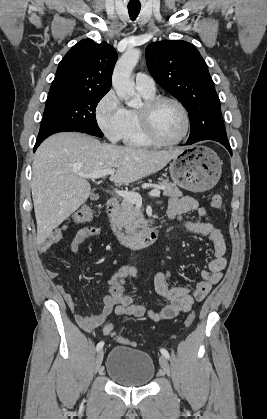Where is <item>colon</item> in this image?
<instances>
[{
  "label": "colon",
  "mask_w": 267,
  "mask_h": 419,
  "mask_svg": "<svg viewBox=\"0 0 267 419\" xmlns=\"http://www.w3.org/2000/svg\"><path fill=\"white\" fill-rule=\"evenodd\" d=\"M211 205L212 207L216 208V209H220L223 206V199L220 195H214L211 198ZM95 215V211L92 207L90 206H84L81 207L80 209L76 210L71 217L69 218L68 222L70 223H74V224H85L90 222L93 217ZM195 319V314L194 313H190L186 320H185V325L188 327L190 326L193 321ZM102 332L104 335H110L116 338V340L124 345H134L132 342H130L129 340L117 336L114 330V326L111 323H106L103 328H102Z\"/></svg>",
  "instance_id": "5ec220e1"
}]
</instances>
